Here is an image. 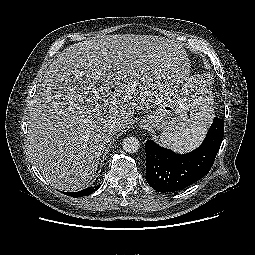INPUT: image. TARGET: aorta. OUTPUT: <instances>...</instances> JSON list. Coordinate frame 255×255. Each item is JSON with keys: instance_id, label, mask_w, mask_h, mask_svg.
I'll use <instances>...</instances> for the list:
<instances>
[{"instance_id": "obj_1", "label": "aorta", "mask_w": 255, "mask_h": 255, "mask_svg": "<svg viewBox=\"0 0 255 255\" xmlns=\"http://www.w3.org/2000/svg\"><path fill=\"white\" fill-rule=\"evenodd\" d=\"M122 146L127 153H135L139 150L140 143L137 138L130 136L123 140Z\"/></svg>"}]
</instances>
